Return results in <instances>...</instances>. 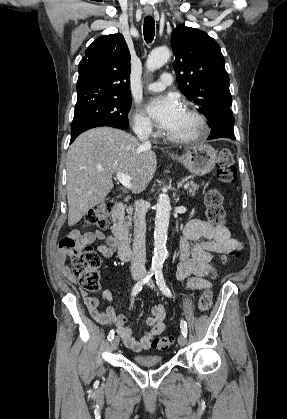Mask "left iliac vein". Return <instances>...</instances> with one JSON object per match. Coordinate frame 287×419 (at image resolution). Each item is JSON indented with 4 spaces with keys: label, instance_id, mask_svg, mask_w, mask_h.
I'll list each match as a JSON object with an SVG mask.
<instances>
[{
    "label": "left iliac vein",
    "instance_id": "4c4485c4",
    "mask_svg": "<svg viewBox=\"0 0 287 419\" xmlns=\"http://www.w3.org/2000/svg\"><path fill=\"white\" fill-rule=\"evenodd\" d=\"M148 286L150 288H155V285H154L153 282H149ZM186 341H187V339L183 334L178 337V343H179L180 346H184L186 344Z\"/></svg>",
    "mask_w": 287,
    "mask_h": 419
}]
</instances>
